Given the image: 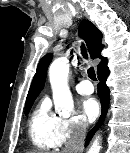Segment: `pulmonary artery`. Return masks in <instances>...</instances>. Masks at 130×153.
I'll use <instances>...</instances> for the list:
<instances>
[{
    "mask_svg": "<svg viewBox=\"0 0 130 153\" xmlns=\"http://www.w3.org/2000/svg\"><path fill=\"white\" fill-rule=\"evenodd\" d=\"M75 90L82 95L93 93L94 87L88 80H83L75 85Z\"/></svg>",
    "mask_w": 130,
    "mask_h": 153,
    "instance_id": "e3ab8cb5",
    "label": "pulmonary artery"
}]
</instances>
